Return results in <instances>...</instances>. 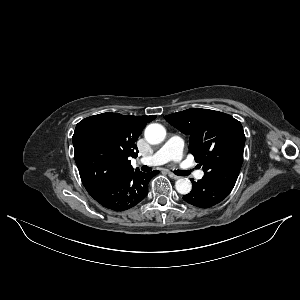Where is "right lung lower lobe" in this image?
I'll use <instances>...</instances> for the list:
<instances>
[{"label": "right lung lower lobe", "mask_w": 300, "mask_h": 300, "mask_svg": "<svg viewBox=\"0 0 300 300\" xmlns=\"http://www.w3.org/2000/svg\"><path fill=\"white\" fill-rule=\"evenodd\" d=\"M159 171H133L114 180L85 186L88 193L103 207L124 211L136 206L147 195L148 183Z\"/></svg>", "instance_id": "98d812e1"}]
</instances>
